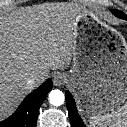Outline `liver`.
<instances>
[{
	"mask_svg": "<svg viewBox=\"0 0 127 127\" xmlns=\"http://www.w3.org/2000/svg\"><path fill=\"white\" fill-rule=\"evenodd\" d=\"M83 14L79 4L57 3L0 16V119L10 115L32 90L26 85L30 77L44 76L37 80V87L50 69L69 65Z\"/></svg>",
	"mask_w": 127,
	"mask_h": 127,
	"instance_id": "6515ba94",
	"label": "liver"
}]
</instances>
